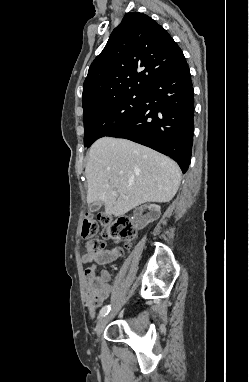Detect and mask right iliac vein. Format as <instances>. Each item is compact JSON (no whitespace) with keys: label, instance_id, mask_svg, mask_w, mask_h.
Returning a JSON list of instances; mask_svg holds the SVG:
<instances>
[{"label":"right iliac vein","instance_id":"obj_1","mask_svg":"<svg viewBox=\"0 0 249 382\" xmlns=\"http://www.w3.org/2000/svg\"><path fill=\"white\" fill-rule=\"evenodd\" d=\"M110 318H111V316L108 315V316L101 317L99 319V321H98V323L96 325V328H95V332H96L97 336H100V334L104 330L105 326L109 322Z\"/></svg>","mask_w":249,"mask_h":382}]
</instances>
